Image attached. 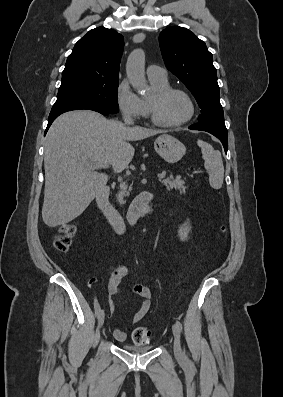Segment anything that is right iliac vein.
Segmentation results:
<instances>
[{
    "mask_svg": "<svg viewBox=\"0 0 283 397\" xmlns=\"http://www.w3.org/2000/svg\"><path fill=\"white\" fill-rule=\"evenodd\" d=\"M104 319H105V314H104V311H102V312L100 313L99 317H98V324H99V327H100V328H101V327L103 326V324H104Z\"/></svg>",
    "mask_w": 283,
    "mask_h": 397,
    "instance_id": "1",
    "label": "right iliac vein"
}]
</instances>
